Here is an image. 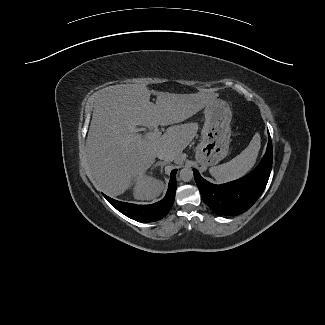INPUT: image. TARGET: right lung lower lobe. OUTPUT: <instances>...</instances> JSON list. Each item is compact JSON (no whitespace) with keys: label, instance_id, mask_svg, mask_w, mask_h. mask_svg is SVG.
<instances>
[{"label":"right lung lower lobe","instance_id":"right-lung-lower-lobe-1","mask_svg":"<svg viewBox=\"0 0 325 325\" xmlns=\"http://www.w3.org/2000/svg\"><path fill=\"white\" fill-rule=\"evenodd\" d=\"M176 172L174 169L171 172V178L168 185L166 196L159 202L150 205H136L114 200L106 195L104 197L109 203L122 214L140 222H153L162 219L171 209L176 192Z\"/></svg>","mask_w":325,"mask_h":325}]
</instances>
